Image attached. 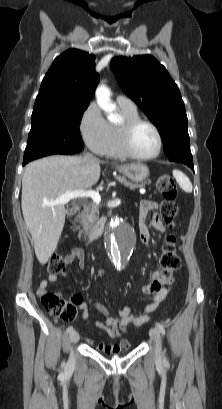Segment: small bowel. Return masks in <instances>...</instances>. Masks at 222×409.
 <instances>
[{
	"label": "small bowel",
	"mask_w": 222,
	"mask_h": 409,
	"mask_svg": "<svg viewBox=\"0 0 222 409\" xmlns=\"http://www.w3.org/2000/svg\"><path fill=\"white\" fill-rule=\"evenodd\" d=\"M158 205L156 202L151 200H143L140 203L139 208V234L142 242L145 245L149 244V230L148 224L146 222L147 215L150 212H154L149 224L158 232L165 231V225L155 211L157 210ZM75 260H78L79 266L81 269L85 267V252L82 248L76 247L73 248L66 256L65 262L67 265L73 263ZM61 276H65V273H61ZM58 279L57 275L50 274L46 279H44L39 287H38V294H41L48 290L50 285ZM172 280L166 281L165 274L162 272L161 269H155L153 280L149 281L145 287V295L148 297H153L152 301L147 304L141 311L133 314L128 306H124L122 309L118 311L116 315L111 314L104 306L102 305H95L94 307L100 310L104 315L105 318L99 320L95 323V325L107 332V334L112 339H119L128 332L130 327L133 326H141L142 324L146 323L150 319V314L157 309L159 304L165 299V297L170 292V288L166 287L165 285L171 284ZM79 309L82 310V320H85L89 316V307L85 303L78 304ZM87 342L92 344V339H87ZM98 350L107 354H115L118 352L126 351L130 348V344L126 340H122L118 344H104L99 343L97 346Z\"/></svg>",
	"instance_id": "c3829d8e"
}]
</instances>
